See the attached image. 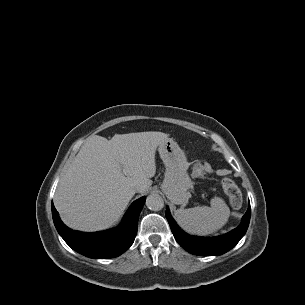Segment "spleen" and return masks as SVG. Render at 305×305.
Here are the masks:
<instances>
[{
  "label": "spleen",
  "instance_id": "3e777b00",
  "mask_svg": "<svg viewBox=\"0 0 305 305\" xmlns=\"http://www.w3.org/2000/svg\"><path fill=\"white\" fill-rule=\"evenodd\" d=\"M210 205L177 209L175 217L178 224L188 233L196 235H208L217 231L228 221L230 209L220 197H213Z\"/></svg>",
  "mask_w": 305,
  "mask_h": 305
}]
</instances>
